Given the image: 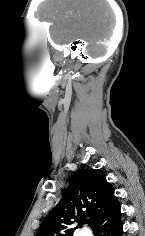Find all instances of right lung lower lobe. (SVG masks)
Returning <instances> with one entry per match:
<instances>
[{
	"mask_svg": "<svg viewBox=\"0 0 145 236\" xmlns=\"http://www.w3.org/2000/svg\"><path fill=\"white\" fill-rule=\"evenodd\" d=\"M93 231L95 236H121L123 226L121 223L120 207Z\"/></svg>",
	"mask_w": 145,
	"mask_h": 236,
	"instance_id": "98d812e1",
	"label": "right lung lower lobe"
}]
</instances>
